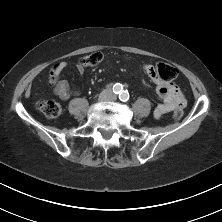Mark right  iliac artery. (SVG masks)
Wrapping results in <instances>:
<instances>
[{"instance_id":"obj_1","label":"right iliac artery","mask_w":222,"mask_h":222,"mask_svg":"<svg viewBox=\"0 0 222 222\" xmlns=\"http://www.w3.org/2000/svg\"><path fill=\"white\" fill-rule=\"evenodd\" d=\"M121 91H122V85L121 84H115L114 86H113V92L115 93V94H119V93H121Z\"/></svg>"}]
</instances>
